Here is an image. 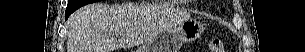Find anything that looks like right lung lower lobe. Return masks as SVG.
Instances as JSON below:
<instances>
[{"mask_svg":"<svg viewBox=\"0 0 305 52\" xmlns=\"http://www.w3.org/2000/svg\"><path fill=\"white\" fill-rule=\"evenodd\" d=\"M73 12L74 10L67 8L65 12V19H67Z\"/></svg>","mask_w":305,"mask_h":52,"instance_id":"1","label":"right lung lower lobe"}]
</instances>
